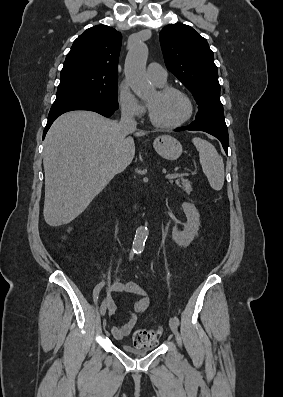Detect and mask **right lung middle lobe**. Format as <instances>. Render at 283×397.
I'll return each instance as SVG.
<instances>
[{"instance_id":"right-lung-middle-lobe-1","label":"right lung middle lobe","mask_w":283,"mask_h":397,"mask_svg":"<svg viewBox=\"0 0 283 397\" xmlns=\"http://www.w3.org/2000/svg\"><path fill=\"white\" fill-rule=\"evenodd\" d=\"M117 80L81 74L75 72L62 73L54 103L80 101L101 105L117 110Z\"/></svg>"}]
</instances>
